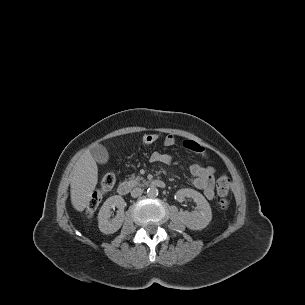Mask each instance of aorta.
Returning <instances> with one entry per match:
<instances>
[{"label":"aorta","mask_w":305,"mask_h":305,"mask_svg":"<svg viewBox=\"0 0 305 305\" xmlns=\"http://www.w3.org/2000/svg\"><path fill=\"white\" fill-rule=\"evenodd\" d=\"M147 196L150 198H155L158 196V189L154 186H151L147 189Z\"/></svg>","instance_id":"aorta-1"}]
</instances>
